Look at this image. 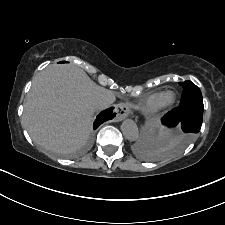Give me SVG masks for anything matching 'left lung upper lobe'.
<instances>
[{"instance_id":"obj_1","label":"left lung upper lobe","mask_w":225,"mask_h":225,"mask_svg":"<svg viewBox=\"0 0 225 225\" xmlns=\"http://www.w3.org/2000/svg\"><path fill=\"white\" fill-rule=\"evenodd\" d=\"M180 84L184 88L180 105L196 102L203 103L201 91L194 83L187 80L185 82H181ZM192 137L193 136H187L186 134L183 135L185 140H189Z\"/></svg>"}]
</instances>
